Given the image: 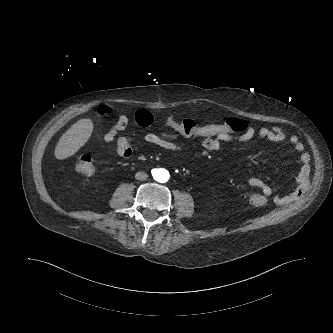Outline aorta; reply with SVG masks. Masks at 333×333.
<instances>
[{
	"label": "aorta",
	"mask_w": 333,
	"mask_h": 333,
	"mask_svg": "<svg viewBox=\"0 0 333 333\" xmlns=\"http://www.w3.org/2000/svg\"><path fill=\"white\" fill-rule=\"evenodd\" d=\"M155 176L159 182H166L169 178L168 173L164 170H157Z\"/></svg>",
	"instance_id": "obj_1"
}]
</instances>
